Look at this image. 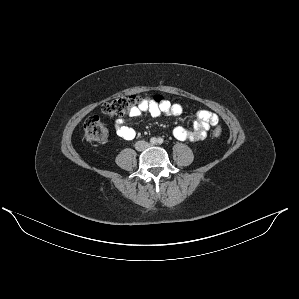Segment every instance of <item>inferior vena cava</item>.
Returning a JSON list of instances; mask_svg holds the SVG:
<instances>
[{
	"mask_svg": "<svg viewBox=\"0 0 299 299\" xmlns=\"http://www.w3.org/2000/svg\"><path fill=\"white\" fill-rule=\"evenodd\" d=\"M148 147H149V144L146 141H137L135 143V149L138 150V151H143Z\"/></svg>",
	"mask_w": 299,
	"mask_h": 299,
	"instance_id": "1",
	"label": "inferior vena cava"
}]
</instances>
